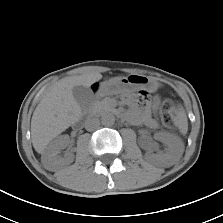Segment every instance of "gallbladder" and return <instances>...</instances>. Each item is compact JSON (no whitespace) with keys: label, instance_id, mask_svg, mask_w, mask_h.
<instances>
[{"label":"gallbladder","instance_id":"obj_1","mask_svg":"<svg viewBox=\"0 0 223 223\" xmlns=\"http://www.w3.org/2000/svg\"><path fill=\"white\" fill-rule=\"evenodd\" d=\"M73 96L81 108H86L93 100V92L85 86H75L72 89Z\"/></svg>","mask_w":223,"mask_h":223}]
</instances>
